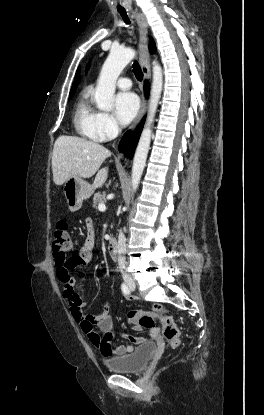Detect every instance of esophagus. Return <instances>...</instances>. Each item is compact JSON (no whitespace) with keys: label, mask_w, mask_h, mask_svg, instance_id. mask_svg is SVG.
<instances>
[{"label":"esophagus","mask_w":264,"mask_h":415,"mask_svg":"<svg viewBox=\"0 0 264 415\" xmlns=\"http://www.w3.org/2000/svg\"><path fill=\"white\" fill-rule=\"evenodd\" d=\"M133 17L135 18L138 29H139V61L141 65L144 78L147 79L150 76L148 68V43H147V33H148V23L145 16L142 13L133 12ZM146 109V100L143 97L141 101L140 111L138 112L133 124L130 127V130H134L135 127L140 122ZM118 158H123V154L119 153Z\"/></svg>","instance_id":"1"}]
</instances>
